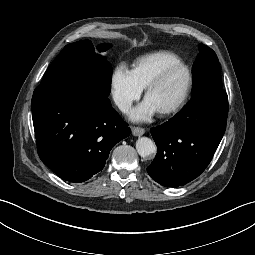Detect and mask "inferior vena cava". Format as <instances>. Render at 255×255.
<instances>
[{
    "mask_svg": "<svg viewBox=\"0 0 255 255\" xmlns=\"http://www.w3.org/2000/svg\"><path fill=\"white\" fill-rule=\"evenodd\" d=\"M114 102L121 111H127L131 107V101L121 95H114Z\"/></svg>",
    "mask_w": 255,
    "mask_h": 255,
    "instance_id": "obj_1",
    "label": "inferior vena cava"
}]
</instances>
